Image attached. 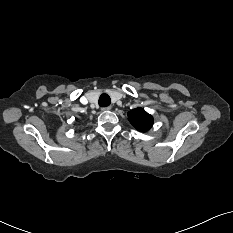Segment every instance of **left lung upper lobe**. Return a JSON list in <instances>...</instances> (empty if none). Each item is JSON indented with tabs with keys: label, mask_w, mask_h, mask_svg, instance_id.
<instances>
[{
	"label": "left lung upper lobe",
	"mask_w": 233,
	"mask_h": 233,
	"mask_svg": "<svg viewBox=\"0 0 233 233\" xmlns=\"http://www.w3.org/2000/svg\"><path fill=\"white\" fill-rule=\"evenodd\" d=\"M130 123L139 131L146 132L153 125V117L142 108H136L128 112Z\"/></svg>",
	"instance_id": "obj_1"
}]
</instances>
